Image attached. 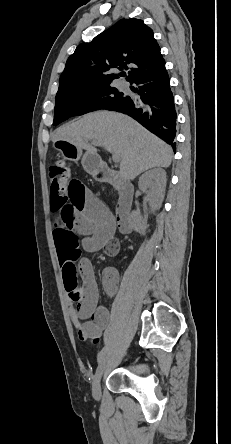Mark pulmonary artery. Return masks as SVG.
I'll list each match as a JSON object with an SVG mask.
<instances>
[{
  "label": "pulmonary artery",
  "mask_w": 231,
  "mask_h": 444,
  "mask_svg": "<svg viewBox=\"0 0 231 444\" xmlns=\"http://www.w3.org/2000/svg\"><path fill=\"white\" fill-rule=\"evenodd\" d=\"M120 87H121L122 89L127 90V89H128V84H127L126 82H121V83H120Z\"/></svg>",
  "instance_id": "pulmonary-artery-1"
}]
</instances>
